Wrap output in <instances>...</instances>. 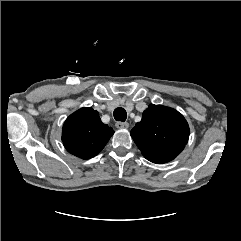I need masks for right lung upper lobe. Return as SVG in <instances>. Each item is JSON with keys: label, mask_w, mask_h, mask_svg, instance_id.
<instances>
[{"label": "right lung upper lobe", "mask_w": 241, "mask_h": 241, "mask_svg": "<svg viewBox=\"0 0 241 241\" xmlns=\"http://www.w3.org/2000/svg\"><path fill=\"white\" fill-rule=\"evenodd\" d=\"M114 130L102 123L97 111L81 108L71 114L62 129L64 147L71 154L90 159L107 144Z\"/></svg>", "instance_id": "cb5924a9"}]
</instances>
